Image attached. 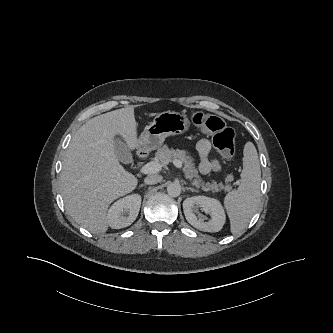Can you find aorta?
I'll use <instances>...</instances> for the list:
<instances>
[{"label":"aorta","instance_id":"aorta-1","mask_svg":"<svg viewBox=\"0 0 333 333\" xmlns=\"http://www.w3.org/2000/svg\"><path fill=\"white\" fill-rule=\"evenodd\" d=\"M167 192L172 197H178L181 193V186L179 183L172 182L167 186Z\"/></svg>","mask_w":333,"mask_h":333}]
</instances>
